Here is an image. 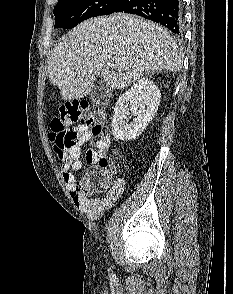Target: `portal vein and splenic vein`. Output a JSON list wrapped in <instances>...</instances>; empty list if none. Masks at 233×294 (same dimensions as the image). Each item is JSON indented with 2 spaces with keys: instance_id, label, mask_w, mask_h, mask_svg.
I'll return each instance as SVG.
<instances>
[{
  "instance_id": "18ae733b",
  "label": "portal vein and splenic vein",
  "mask_w": 233,
  "mask_h": 294,
  "mask_svg": "<svg viewBox=\"0 0 233 294\" xmlns=\"http://www.w3.org/2000/svg\"><path fill=\"white\" fill-rule=\"evenodd\" d=\"M107 65H108L109 67H111V68L115 67V64H114V63H108Z\"/></svg>"
}]
</instances>
